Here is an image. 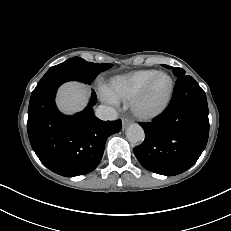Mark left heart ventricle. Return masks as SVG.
Instances as JSON below:
<instances>
[{
    "label": "left heart ventricle",
    "mask_w": 231,
    "mask_h": 231,
    "mask_svg": "<svg viewBox=\"0 0 231 231\" xmlns=\"http://www.w3.org/2000/svg\"><path fill=\"white\" fill-rule=\"evenodd\" d=\"M168 79L165 76H159L150 92L149 97L147 98L145 105L147 107H152L159 103L165 96L168 89Z\"/></svg>",
    "instance_id": "obj_1"
}]
</instances>
